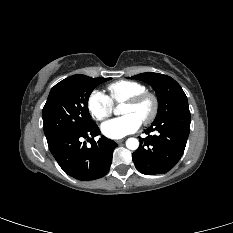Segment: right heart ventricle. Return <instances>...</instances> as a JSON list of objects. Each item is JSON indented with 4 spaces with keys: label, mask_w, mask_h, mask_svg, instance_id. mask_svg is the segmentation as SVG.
I'll list each match as a JSON object with an SVG mask.
<instances>
[{
    "label": "right heart ventricle",
    "mask_w": 233,
    "mask_h": 233,
    "mask_svg": "<svg viewBox=\"0 0 233 233\" xmlns=\"http://www.w3.org/2000/svg\"><path fill=\"white\" fill-rule=\"evenodd\" d=\"M108 98L112 104H120L127 99L141 92L146 91V87L136 81L119 80L107 86Z\"/></svg>",
    "instance_id": "e07e8e85"
}]
</instances>
